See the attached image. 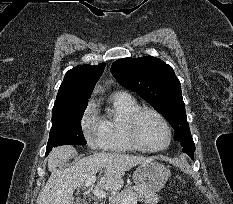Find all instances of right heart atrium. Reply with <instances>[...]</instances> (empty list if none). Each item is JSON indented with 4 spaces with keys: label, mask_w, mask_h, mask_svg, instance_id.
<instances>
[{
    "label": "right heart atrium",
    "mask_w": 233,
    "mask_h": 204,
    "mask_svg": "<svg viewBox=\"0 0 233 204\" xmlns=\"http://www.w3.org/2000/svg\"><path fill=\"white\" fill-rule=\"evenodd\" d=\"M80 126L86 143L92 150L104 149L102 124L93 103H89L85 108Z\"/></svg>",
    "instance_id": "d8ad5b80"
}]
</instances>
